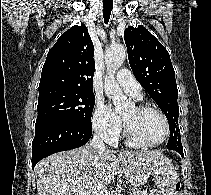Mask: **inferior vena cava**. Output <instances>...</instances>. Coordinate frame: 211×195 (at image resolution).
Returning a JSON list of instances; mask_svg holds the SVG:
<instances>
[{"mask_svg": "<svg viewBox=\"0 0 211 195\" xmlns=\"http://www.w3.org/2000/svg\"><path fill=\"white\" fill-rule=\"evenodd\" d=\"M90 146L96 150L99 151H105L106 147L101 139V136L99 133H95L92 140L90 141ZM93 195H107V189L102 180H97L93 189Z\"/></svg>", "mask_w": 211, "mask_h": 195, "instance_id": "602c4592", "label": "inferior vena cava"}]
</instances>
